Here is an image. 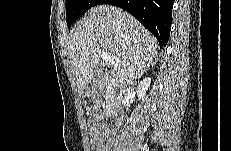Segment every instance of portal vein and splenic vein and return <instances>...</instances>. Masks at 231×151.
<instances>
[{"label":"portal vein and splenic vein","instance_id":"portal-vein-and-splenic-vein-1","mask_svg":"<svg viewBox=\"0 0 231 151\" xmlns=\"http://www.w3.org/2000/svg\"><path fill=\"white\" fill-rule=\"evenodd\" d=\"M101 58L103 59V61L109 66V65H113L114 61L111 58V56H109V54L105 51H102L101 53Z\"/></svg>","mask_w":231,"mask_h":151}]
</instances>
